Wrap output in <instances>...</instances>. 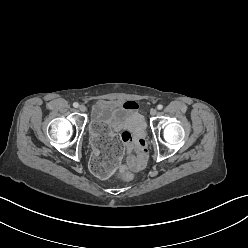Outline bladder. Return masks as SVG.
Returning a JSON list of instances; mask_svg holds the SVG:
<instances>
[{"label":"bladder","instance_id":"1","mask_svg":"<svg viewBox=\"0 0 248 248\" xmlns=\"http://www.w3.org/2000/svg\"><path fill=\"white\" fill-rule=\"evenodd\" d=\"M130 114V111L122 104L109 100H98L92 108L93 123L103 122L115 127L124 123Z\"/></svg>","mask_w":248,"mask_h":248}]
</instances>
